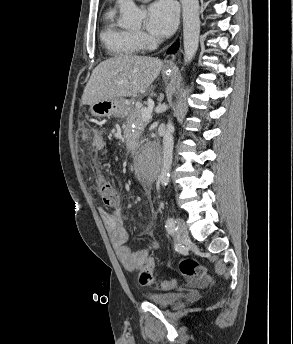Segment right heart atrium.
Wrapping results in <instances>:
<instances>
[{"label":"right heart atrium","mask_w":293,"mask_h":344,"mask_svg":"<svg viewBox=\"0 0 293 344\" xmlns=\"http://www.w3.org/2000/svg\"><path fill=\"white\" fill-rule=\"evenodd\" d=\"M134 37H135V40H136L137 44L141 48H146V47H148V46H150L152 44L151 37H149L144 32H141V31L134 32Z\"/></svg>","instance_id":"right-heart-atrium-1"}]
</instances>
